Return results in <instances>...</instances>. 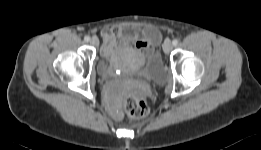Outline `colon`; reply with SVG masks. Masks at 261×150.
<instances>
[{
  "mask_svg": "<svg viewBox=\"0 0 261 150\" xmlns=\"http://www.w3.org/2000/svg\"><path fill=\"white\" fill-rule=\"evenodd\" d=\"M125 112L133 118H143L149 113L146 101L135 93L126 95L123 102Z\"/></svg>",
  "mask_w": 261,
  "mask_h": 150,
  "instance_id": "5ec220e1",
  "label": "colon"
}]
</instances>
